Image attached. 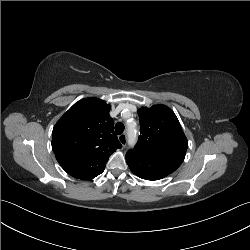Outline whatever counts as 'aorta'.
Returning <instances> with one entry per match:
<instances>
[{
  "instance_id": "1",
  "label": "aorta",
  "mask_w": 250,
  "mask_h": 250,
  "mask_svg": "<svg viewBox=\"0 0 250 250\" xmlns=\"http://www.w3.org/2000/svg\"><path fill=\"white\" fill-rule=\"evenodd\" d=\"M132 129H134V128L130 127L129 130H128V137H129L128 143L131 146L134 145L135 142H136V135L133 133Z\"/></svg>"
}]
</instances>
